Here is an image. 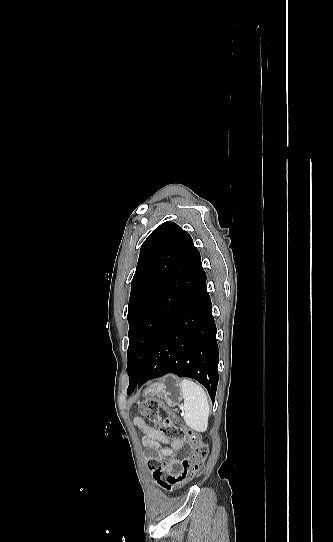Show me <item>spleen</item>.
<instances>
[{
  "instance_id": "spleen-1",
  "label": "spleen",
  "mask_w": 333,
  "mask_h": 542,
  "mask_svg": "<svg viewBox=\"0 0 333 542\" xmlns=\"http://www.w3.org/2000/svg\"><path fill=\"white\" fill-rule=\"evenodd\" d=\"M184 400V422L194 432H206L209 422L210 406L202 386L192 380H181Z\"/></svg>"
}]
</instances>
